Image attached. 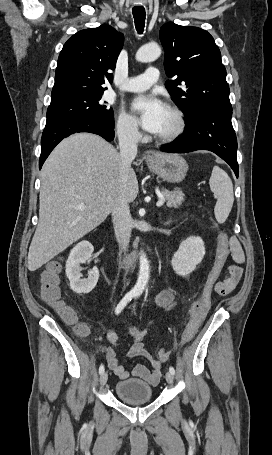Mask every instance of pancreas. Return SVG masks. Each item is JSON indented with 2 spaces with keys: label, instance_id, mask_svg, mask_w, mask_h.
<instances>
[{
  "label": "pancreas",
  "instance_id": "obj_1",
  "mask_svg": "<svg viewBox=\"0 0 272 455\" xmlns=\"http://www.w3.org/2000/svg\"><path fill=\"white\" fill-rule=\"evenodd\" d=\"M162 194L166 199L167 207L176 208L185 201V194L180 189H176L173 191L164 190Z\"/></svg>",
  "mask_w": 272,
  "mask_h": 455
}]
</instances>
